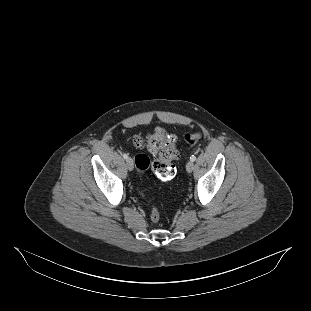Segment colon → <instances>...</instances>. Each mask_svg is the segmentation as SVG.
Here are the masks:
<instances>
[{
    "mask_svg": "<svg viewBox=\"0 0 311 311\" xmlns=\"http://www.w3.org/2000/svg\"><path fill=\"white\" fill-rule=\"evenodd\" d=\"M202 138L199 131L185 134L184 139L187 144L194 145ZM136 146H145L147 150L155 156L152 169L156 176L163 180H171L175 176V168L172 161L177 157L174 139L163 128H156L146 135L134 136L132 139ZM136 172L142 176L150 167V159L146 154H138L135 157ZM141 195L145 196L142 188H139ZM150 218L153 223L160 220L159 210L155 205L152 206Z\"/></svg>",
    "mask_w": 311,
    "mask_h": 311,
    "instance_id": "5ec220e1",
    "label": "colon"
}]
</instances>
